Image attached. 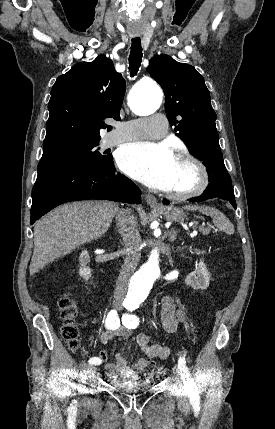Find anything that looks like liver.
<instances>
[{
  "label": "liver",
  "mask_w": 275,
  "mask_h": 429,
  "mask_svg": "<svg viewBox=\"0 0 275 429\" xmlns=\"http://www.w3.org/2000/svg\"><path fill=\"white\" fill-rule=\"evenodd\" d=\"M118 211L114 202L85 201L65 204L41 218L34 227L30 275L79 246L100 238Z\"/></svg>",
  "instance_id": "6515ba94"
}]
</instances>
